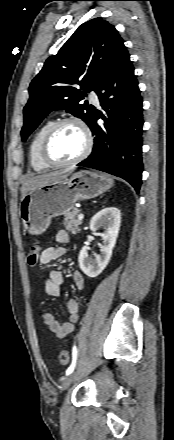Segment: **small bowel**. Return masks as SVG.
Returning a JSON list of instances; mask_svg holds the SVG:
<instances>
[{"mask_svg": "<svg viewBox=\"0 0 174 440\" xmlns=\"http://www.w3.org/2000/svg\"><path fill=\"white\" fill-rule=\"evenodd\" d=\"M56 241L59 243L57 246H50L45 248L40 255L41 264H49L59 258L63 257L66 253L65 244L70 241V234L65 230H60L56 235ZM72 280L77 292H80L85 284L84 277L79 271L72 273ZM64 282V277L61 271L52 270L41 282L42 291L46 296L58 297L61 293V287ZM67 309L69 313V320L60 322L49 313L44 312L42 314V322L49 328L57 337L63 338L66 335L73 332L75 325L80 321V304L77 298H71L67 303Z\"/></svg>", "mask_w": 174, "mask_h": 440, "instance_id": "small-bowel-1", "label": "small bowel"}]
</instances>
